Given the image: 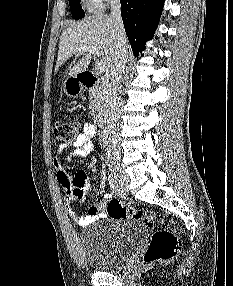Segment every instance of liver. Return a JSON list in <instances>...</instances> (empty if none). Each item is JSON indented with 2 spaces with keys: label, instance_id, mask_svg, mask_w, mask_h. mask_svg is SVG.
Listing matches in <instances>:
<instances>
[{
  "label": "liver",
  "instance_id": "obj_1",
  "mask_svg": "<svg viewBox=\"0 0 233 286\" xmlns=\"http://www.w3.org/2000/svg\"><path fill=\"white\" fill-rule=\"evenodd\" d=\"M97 47L101 50L105 69L111 64L115 52L114 22L108 15H93L68 27L63 31L60 42L55 72L65 66L76 54L83 55L70 69L68 75L75 77L85 71L90 64L91 53L81 52L80 48Z\"/></svg>",
  "mask_w": 233,
  "mask_h": 286
}]
</instances>
